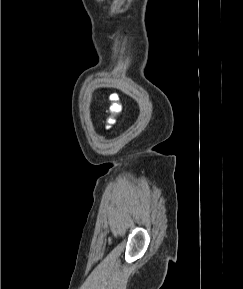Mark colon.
Masks as SVG:
<instances>
[{
  "label": "colon",
  "instance_id": "5ec220e1",
  "mask_svg": "<svg viewBox=\"0 0 243 289\" xmlns=\"http://www.w3.org/2000/svg\"><path fill=\"white\" fill-rule=\"evenodd\" d=\"M110 107H109V116L106 120V128L110 129L116 122V118L121 114L123 107L119 101V97L116 94H113L110 97Z\"/></svg>",
  "mask_w": 243,
  "mask_h": 289
}]
</instances>
